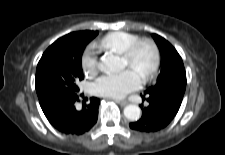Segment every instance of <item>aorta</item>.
Here are the masks:
<instances>
[{"instance_id": "aorta-1", "label": "aorta", "mask_w": 225, "mask_h": 155, "mask_svg": "<svg viewBox=\"0 0 225 155\" xmlns=\"http://www.w3.org/2000/svg\"><path fill=\"white\" fill-rule=\"evenodd\" d=\"M99 68L103 72H113L123 68L121 59L112 53L101 57ZM124 116L130 121H137L141 117V109L135 104H129L124 108Z\"/></svg>"}]
</instances>
